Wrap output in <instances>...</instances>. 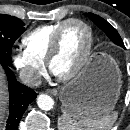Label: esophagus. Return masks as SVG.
I'll use <instances>...</instances> for the list:
<instances>
[{
  "mask_svg": "<svg viewBox=\"0 0 130 130\" xmlns=\"http://www.w3.org/2000/svg\"><path fill=\"white\" fill-rule=\"evenodd\" d=\"M47 93L56 96L58 94V91L56 89H48Z\"/></svg>",
  "mask_w": 130,
  "mask_h": 130,
  "instance_id": "obj_1",
  "label": "esophagus"
}]
</instances>
